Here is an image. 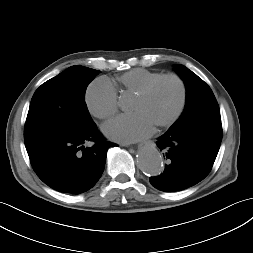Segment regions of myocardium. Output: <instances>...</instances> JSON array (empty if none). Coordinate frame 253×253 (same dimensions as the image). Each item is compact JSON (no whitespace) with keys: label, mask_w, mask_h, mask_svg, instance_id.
Instances as JSON below:
<instances>
[{"label":"myocardium","mask_w":253,"mask_h":253,"mask_svg":"<svg viewBox=\"0 0 253 253\" xmlns=\"http://www.w3.org/2000/svg\"><path fill=\"white\" fill-rule=\"evenodd\" d=\"M164 80H173L178 84L179 89H180V99H179V103H178V106H177L175 112L172 114V116L169 119H167L166 121H164L162 123H159L157 125V127H159V128L170 127L182 115V113L185 109V106H186V102H187V87H186L185 81L179 75L174 74V73L162 74V75L154 78L153 80L149 81L144 87H142L135 94V97L143 98V97L147 96L156 85H158L160 82H162Z\"/></svg>","instance_id":"f54148a6"}]
</instances>
